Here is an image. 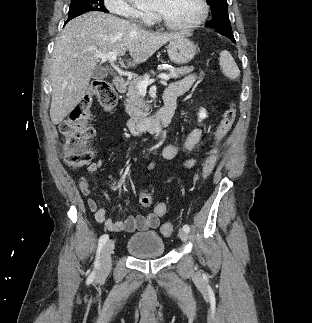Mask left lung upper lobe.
Instances as JSON below:
<instances>
[{
    "mask_svg": "<svg viewBox=\"0 0 312 323\" xmlns=\"http://www.w3.org/2000/svg\"><path fill=\"white\" fill-rule=\"evenodd\" d=\"M210 5L213 17L207 22L206 27L216 30L218 33L226 36H233L231 24L228 15L226 0H206Z\"/></svg>",
    "mask_w": 312,
    "mask_h": 323,
    "instance_id": "1",
    "label": "left lung upper lobe"
}]
</instances>
